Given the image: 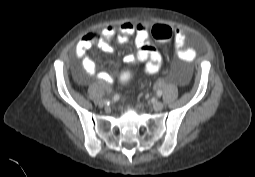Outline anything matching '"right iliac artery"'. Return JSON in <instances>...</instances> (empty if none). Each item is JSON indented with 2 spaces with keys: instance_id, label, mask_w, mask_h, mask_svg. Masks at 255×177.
<instances>
[{
  "instance_id": "82829eb1",
  "label": "right iliac artery",
  "mask_w": 255,
  "mask_h": 177,
  "mask_svg": "<svg viewBox=\"0 0 255 177\" xmlns=\"http://www.w3.org/2000/svg\"><path fill=\"white\" fill-rule=\"evenodd\" d=\"M119 98H120L119 95L116 94V95H114L113 100H114V101H118Z\"/></svg>"
}]
</instances>
